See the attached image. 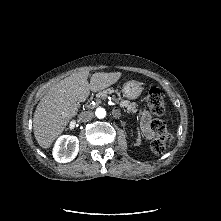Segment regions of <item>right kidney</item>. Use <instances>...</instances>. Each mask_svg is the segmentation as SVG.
<instances>
[{"label": "right kidney", "mask_w": 221, "mask_h": 221, "mask_svg": "<svg viewBox=\"0 0 221 221\" xmlns=\"http://www.w3.org/2000/svg\"><path fill=\"white\" fill-rule=\"evenodd\" d=\"M78 151V138L76 136L63 135L55 143L53 157L59 163H67L77 156Z\"/></svg>", "instance_id": "obj_1"}]
</instances>
